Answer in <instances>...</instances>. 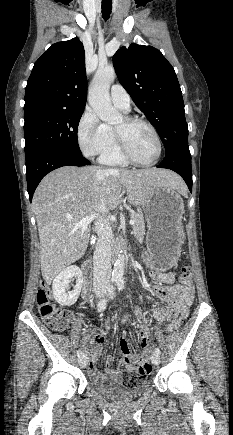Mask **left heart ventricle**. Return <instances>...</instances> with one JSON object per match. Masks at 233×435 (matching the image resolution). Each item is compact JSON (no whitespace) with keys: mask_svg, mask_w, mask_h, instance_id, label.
<instances>
[{"mask_svg":"<svg viewBox=\"0 0 233 435\" xmlns=\"http://www.w3.org/2000/svg\"><path fill=\"white\" fill-rule=\"evenodd\" d=\"M114 127L122 130L126 144L137 160L150 162L155 159L157 154L156 142L146 125L142 123L125 125L124 119H121Z\"/></svg>","mask_w":233,"mask_h":435,"instance_id":"obj_1","label":"left heart ventricle"}]
</instances>
